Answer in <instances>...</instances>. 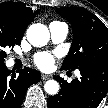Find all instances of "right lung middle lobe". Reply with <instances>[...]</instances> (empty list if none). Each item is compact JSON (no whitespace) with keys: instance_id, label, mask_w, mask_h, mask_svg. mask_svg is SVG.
<instances>
[{"instance_id":"right-lung-middle-lobe-1","label":"right lung middle lobe","mask_w":108,"mask_h":108,"mask_svg":"<svg viewBox=\"0 0 108 108\" xmlns=\"http://www.w3.org/2000/svg\"><path fill=\"white\" fill-rule=\"evenodd\" d=\"M22 37L21 34L13 29L6 18L0 16V63H4V59L7 56L4 48L19 45Z\"/></svg>"}]
</instances>
